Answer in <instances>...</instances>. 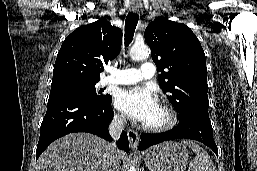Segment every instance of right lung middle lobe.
Segmentation results:
<instances>
[{
    "label": "right lung middle lobe",
    "mask_w": 257,
    "mask_h": 171,
    "mask_svg": "<svg viewBox=\"0 0 257 171\" xmlns=\"http://www.w3.org/2000/svg\"><path fill=\"white\" fill-rule=\"evenodd\" d=\"M95 84L96 82L70 83L62 87L51 88L49 97L74 94L86 96L97 101H105L111 97L108 94H102V91L97 94Z\"/></svg>",
    "instance_id": "dd1d6c3e"
}]
</instances>
